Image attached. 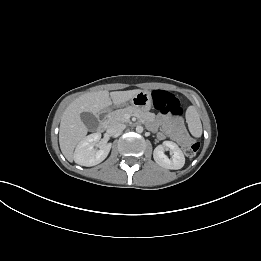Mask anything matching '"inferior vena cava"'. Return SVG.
Returning a JSON list of instances; mask_svg holds the SVG:
<instances>
[{
    "mask_svg": "<svg viewBox=\"0 0 261 261\" xmlns=\"http://www.w3.org/2000/svg\"><path fill=\"white\" fill-rule=\"evenodd\" d=\"M126 128L125 124L122 123H115L111 125L108 129L107 132L110 135L118 134L121 133L124 129Z\"/></svg>",
    "mask_w": 261,
    "mask_h": 261,
    "instance_id": "obj_1",
    "label": "inferior vena cava"
}]
</instances>
